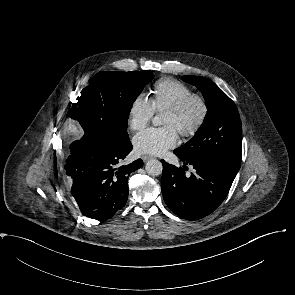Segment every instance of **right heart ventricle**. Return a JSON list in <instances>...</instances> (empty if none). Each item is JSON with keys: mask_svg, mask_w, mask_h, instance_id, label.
<instances>
[{"mask_svg": "<svg viewBox=\"0 0 295 295\" xmlns=\"http://www.w3.org/2000/svg\"><path fill=\"white\" fill-rule=\"evenodd\" d=\"M192 93V88L176 79L163 78L156 81L150 99L154 111L165 112Z\"/></svg>", "mask_w": 295, "mask_h": 295, "instance_id": "right-heart-ventricle-1", "label": "right heart ventricle"}]
</instances>
